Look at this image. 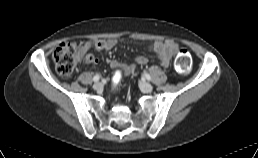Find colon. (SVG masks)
I'll list each match as a JSON object with an SVG mask.
<instances>
[{"mask_svg":"<svg viewBox=\"0 0 258 158\" xmlns=\"http://www.w3.org/2000/svg\"><path fill=\"white\" fill-rule=\"evenodd\" d=\"M86 44L66 42L60 44L53 52V61L57 72L62 76H69L80 61L92 62L94 58L88 54ZM191 67V55L187 49H180L175 59V69L180 74H186ZM121 80V74L115 76L116 83Z\"/></svg>","mask_w":258,"mask_h":158,"instance_id":"5ec220e1","label":"colon"}]
</instances>
